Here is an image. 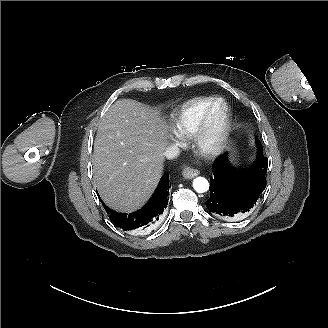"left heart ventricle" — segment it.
<instances>
[{
    "instance_id": "b2bd125f",
    "label": "left heart ventricle",
    "mask_w": 328,
    "mask_h": 328,
    "mask_svg": "<svg viewBox=\"0 0 328 328\" xmlns=\"http://www.w3.org/2000/svg\"><path fill=\"white\" fill-rule=\"evenodd\" d=\"M223 121V113L221 110L215 112L210 118V125L212 128L217 129L220 127Z\"/></svg>"
}]
</instances>
